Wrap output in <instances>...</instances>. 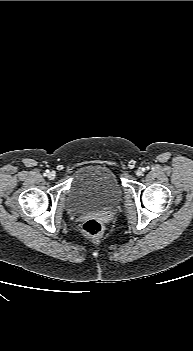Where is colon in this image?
<instances>
[{
    "instance_id": "1",
    "label": "colon",
    "mask_w": 193,
    "mask_h": 351,
    "mask_svg": "<svg viewBox=\"0 0 193 351\" xmlns=\"http://www.w3.org/2000/svg\"><path fill=\"white\" fill-rule=\"evenodd\" d=\"M82 231L88 237L98 238L102 236L104 226L100 220L92 218L83 223Z\"/></svg>"
}]
</instances>
